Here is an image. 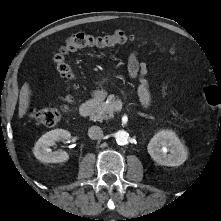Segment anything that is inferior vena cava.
Here are the masks:
<instances>
[{
  "mask_svg": "<svg viewBox=\"0 0 221 221\" xmlns=\"http://www.w3.org/2000/svg\"><path fill=\"white\" fill-rule=\"evenodd\" d=\"M88 136L91 139H99L103 136V131L99 126H91L88 130Z\"/></svg>",
  "mask_w": 221,
  "mask_h": 221,
  "instance_id": "obj_1",
  "label": "inferior vena cava"
}]
</instances>
